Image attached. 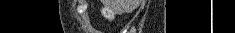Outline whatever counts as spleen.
<instances>
[{
  "label": "spleen",
  "mask_w": 235,
  "mask_h": 33,
  "mask_svg": "<svg viewBox=\"0 0 235 33\" xmlns=\"http://www.w3.org/2000/svg\"><path fill=\"white\" fill-rule=\"evenodd\" d=\"M126 11H129L131 9L130 5L128 4L126 7H124Z\"/></svg>",
  "instance_id": "spleen-1"
}]
</instances>
